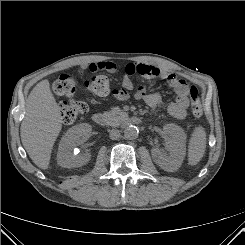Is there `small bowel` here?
I'll return each instance as SVG.
<instances>
[{
	"instance_id": "1",
	"label": "small bowel",
	"mask_w": 245,
	"mask_h": 245,
	"mask_svg": "<svg viewBox=\"0 0 245 245\" xmlns=\"http://www.w3.org/2000/svg\"><path fill=\"white\" fill-rule=\"evenodd\" d=\"M83 70L91 72L106 71L108 73H115L117 65L111 61H96L82 66ZM138 77L150 79L158 78L167 82L169 87L175 93V100L168 105V112L176 119H184L189 107V87L188 84L177 78L173 73L167 72L160 67L138 63L129 62L125 66V76L123 78L121 88L112 91V97L118 101H124L134 96L137 99L143 100L150 108L154 109L162 103V96L158 92L148 93L144 86L134 87V80Z\"/></svg>"
}]
</instances>
